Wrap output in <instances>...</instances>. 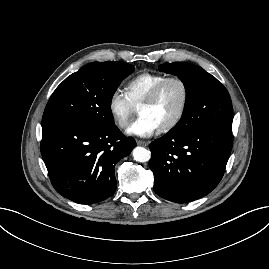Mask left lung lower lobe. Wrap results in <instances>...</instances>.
<instances>
[{
    "instance_id": "left-lung-lower-lobe-1",
    "label": "left lung lower lobe",
    "mask_w": 269,
    "mask_h": 269,
    "mask_svg": "<svg viewBox=\"0 0 269 269\" xmlns=\"http://www.w3.org/2000/svg\"><path fill=\"white\" fill-rule=\"evenodd\" d=\"M154 191L188 203L209 194L223 177L232 148V124H213L188 133L168 132L150 145Z\"/></svg>"
}]
</instances>
